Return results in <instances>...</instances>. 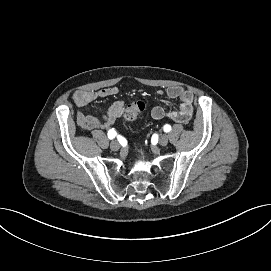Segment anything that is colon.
I'll use <instances>...</instances> for the list:
<instances>
[{
    "instance_id": "colon-1",
    "label": "colon",
    "mask_w": 271,
    "mask_h": 271,
    "mask_svg": "<svg viewBox=\"0 0 271 271\" xmlns=\"http://www.w3.org/2000/svg\"><path fill=\"white\" fill-rule=\"evenodd\" d=\"M145 102L143 100H136L130 103L125 111H124V118L126 121H134L139 114L144 110Z\"/></svg>"
}]
</instances>
